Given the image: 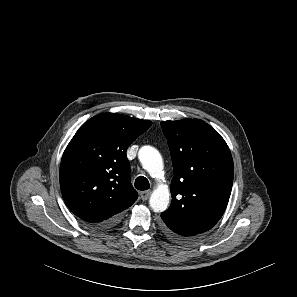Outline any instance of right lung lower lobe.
<instances>
[{"label": "right lung lower lobe", "instance_id": "right-lung-lower-lobe-1", "mask_svg": "<svg viewBox=\"0 0 297 297\" xmlns=\"http://www.w3.org/2000/svg\"><path fill=\"white\" fill-rule=\"evenodd\" d=\"M119 219H120V215H116V216H114L108 220L102 221L100 223L90 224V226L95 229H107V228H110V227L114 226L115 224H117L119 222Z\"/></svg>", "mask_w": 297, "mask_h": 297}]
</instances>
